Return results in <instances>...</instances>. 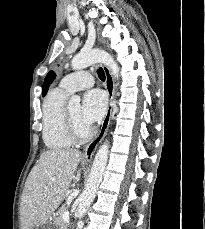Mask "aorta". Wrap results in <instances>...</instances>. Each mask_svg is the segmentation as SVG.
Returning <instances> with one entry per match:
<instances>
[{
    "mask_svg": "<svg viewBox=\"0 0 205 229\" xmlns=\"http://www.w3.org/2000/svg\"><path fill=\"white\" fill-rule=\"evenodd\" d=\"M95 63H102L106 65L111 70L112 75L118 79L119 67L117 63L110 54L103 50L92 49L90 51L80 52L73 57L71 61V67L73 70H81ZM69 103L73 105H79L80 97L77 95L72 96L69 100ZM108 155L109 142L106 141L100 146L95 155L85 189L79 197V218L84 216L96 196L99 185L103 179L104 171L108 161Z\"/></svg>",
    "mask_w": 205,
    "mask_h": 229,
    "instance_id": "aorta-1",
    "label": "aorta"
}]
</instances>
